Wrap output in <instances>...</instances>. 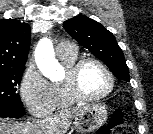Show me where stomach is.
<instances>
[{"label": "stomach", "instance_id": "stomach-1", "mask_svg": "<svg viewBox=\"0 0 153 134\" xmlns=\"http://www.w3.org/2000/svg\"><path fill=\"white\" fill-rule=\"evenodd\" d=\"M107 120V108L103 104H92L83 108L73 122L77 132H94Z\"/></svg>", "mask_w": 153, "mask_h": 134}]
</instances>
